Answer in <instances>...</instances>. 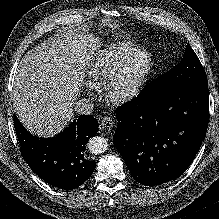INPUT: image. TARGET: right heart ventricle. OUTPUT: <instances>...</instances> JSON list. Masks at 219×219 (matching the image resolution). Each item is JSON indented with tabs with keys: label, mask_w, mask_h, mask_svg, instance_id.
Instances as JSON below:
<instances>
[{
	"label": "right heart ventricle",
	"mask_w": 219,
	"mask_h": 219,
	"mask_svg": "<svg viewBox=\"0 0 219 219\" xmlns=\"http://www.w3.org/2000/svg\"><path fill=\"white\" fill-rule=\"evenodd\" d=\"M140 49L132 44H113L94 53L86 64V79L90 86L103 85L120 62Z\"/></svg>",
	"instance_id": "1"
}]
</instances>
